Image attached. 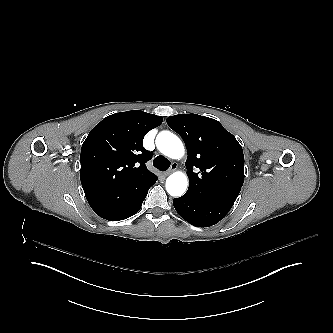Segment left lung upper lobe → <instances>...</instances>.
I'll return each instance as SVG.
<instances>
[{
    "label": "left lung upper lobe",
    "instance_id": "obj_1",
    "mask_svg": "<svg viewBox=\"0 0 333 333\" xmlns=\"http://www.w3.org/2000/svg\"><path fill=\"white\" fill-rule=\"evenodd\" d=\"M167 124L188 151L185 194L233 206L244 182V155L236 138L217 120L197 114L170 116ZM195 167L199 173L193 172Z\"/></svg>",
    "mask_w": 333,
    "mask_h": 333
}]
</instances>
